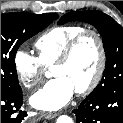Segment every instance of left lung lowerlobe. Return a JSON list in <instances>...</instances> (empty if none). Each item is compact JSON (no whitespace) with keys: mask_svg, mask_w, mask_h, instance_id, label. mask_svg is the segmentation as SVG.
Returning a JSON list of instances; mask_svg holds the SVG:
<instances>
[{"mask_svg":"<svg viewBox=\"0 0 123 123\" xmlns=\"http://www.w3.org/2000/svg\"><path fill=\"white\" fill-rule=\"evenodd\" d=\"M73 113L76 123H123V88L90 93Z\"/></svg>","mask_w":123,"mask_h":123,"instance_id":"obj_1","label":"left lung lower lobe"}]
</instances>
